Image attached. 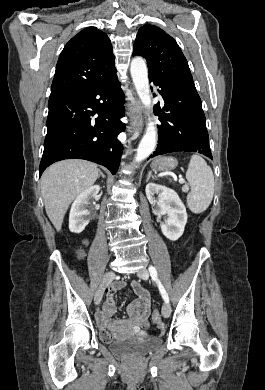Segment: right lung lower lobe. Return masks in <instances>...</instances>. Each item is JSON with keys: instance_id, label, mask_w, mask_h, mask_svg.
I'll list each match as a JSON object with an SVG mask.
<instances>
[{"instance_id": "98d812e1", "label": "right lung lower lobe", "mask_w": 265, "mask_h": 390, "mask_svg": "<svg viewBox=\"0 0 265 390\" xmlns=\"http://www.w3.org/2000/svg\"><path fill=\"white\" fill-rule=\"evenodd\" d=\"M116 72L50 96L40 176L52 163L71 158L101 164L116 174L123 151L117 135L125 128L120 121L125 96Z\"/></svg>"}]
</instances>
